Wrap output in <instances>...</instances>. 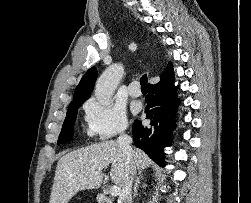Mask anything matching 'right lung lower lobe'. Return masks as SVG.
I'll list each match as a JSON object with an SVG mask.
<instances>
[{
  "label": "right lung lower lobe",
  "instance_id": "obj_1",
  "mask_svg": "<svg viewBox=\"0 0 251 203\" xmlns=\"http://www.w3.org/2000/svg\"><path fill=\"white\" fill-rule=\"evenodd\" d=\"M157 84L148 86L146 96V118L150 125L143 127L141 122L133 123V139L135 145L142 149L153 161L159 165H166L163 148L172 143L171 131L175 128V115L179 104L172 65L160 75Z\"/></svg>",
  "mask_w": 251,
  "mask_h": 203
}]
</instances>
